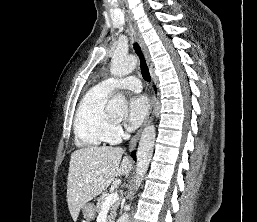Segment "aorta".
Listing matches in <instances>:
<instances>
[{"mask_svg":"<svg viewBox=\"0 0 257 222\" xmlns=\"http://www.w3.org/2000/svg\"><path fill=\"white\" fill-rule=\"evenodd\" d=\"M137 64V60L133 55L122 54L116 51L111 60L110 72L115 76H125L131 73ZM107 111L109 113L124 114L127 112V101L124 95L116 94L108 102ZM156 137L155 127L153 125L144 128L139 146L137 150V168H136V182L135 190H137L146 174L149 163L151 161L154 142ZM126 210H129V206H126ZM117 222H129V214L123 213Z\"/></svg>","mask_w":257,"mask_h":222,"instance_id":"aorta-1","label":"aorta"}]
</instances>
